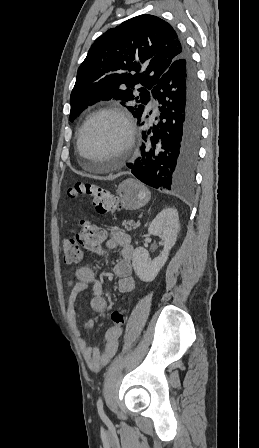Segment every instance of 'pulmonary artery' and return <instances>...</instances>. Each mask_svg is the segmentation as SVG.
I'll list each match as a JSON object with an SVG mask.
<instances>
[{
    "mask_svg": "<svg viewBox=\"0 0 259 448\" xmlns=\"http://www.w3.org/2000/svg\"><path fill=\"white\" fill-rule=\"evenodd\" d=\"M152 106L154 107V110L157 111V106L155 102H152Z\"/></svg>",
    "mask_w": 259,
    "mask_h": 448,
    "instance_id": "obj_1",
    "label": "pulmonary artery"
}]
</instances>
